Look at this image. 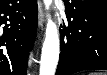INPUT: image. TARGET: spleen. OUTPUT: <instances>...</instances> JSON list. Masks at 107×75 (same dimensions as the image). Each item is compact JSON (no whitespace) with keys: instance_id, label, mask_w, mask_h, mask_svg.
Returning <instances> with one entry per match:
<instances>
[{"instance_id":"3e777b00","label":"spleen","mask_w":107,"mask_h":75,"mask_svg":"<svg viewBox=\"0 0 107 75\" xmlns=\"http://www.w3.org/2000/svg\"><path fill=\"white\" fill-rule=\"evenodd\" d=\"M90 75H100L99 73H91Z\"/></svg>"}]
</instances>
